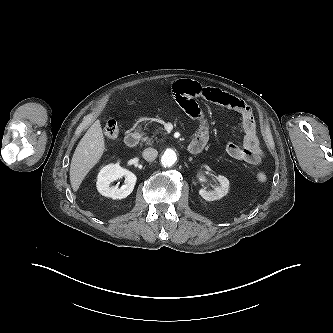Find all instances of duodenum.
<instances>
[{"label": "duodenum", "mask_w": 333, "mask_h": 333, "mask_svg": "<svg viewBox=\"0 0 333 333\" xmlns=\"http://www.w3.org/2000/svg\"><path fill=\"white\" fill-rule=\"evenodd\" d=\"M139 140L140 136L136 132L128 133L124 139L125 144L130 148L136 147L139 143ZM205 145V142L202 140H192L188 146V150L192 154H198L203 150Z\"/></svg>", "instance_id": "1"}]
</instances>
